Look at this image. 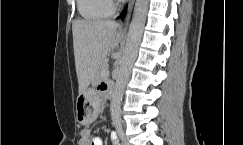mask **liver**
<instances>
[{"label": "liver", "instance_id": "1", "mask_svg": "<svg viewBox=\"0 0 243 145\" xmlns=\"http://www.w3.org/2000/svg\"><path fill=\"white\" fill-rule=\"evenodd\" d=\"M119 25L110 20L77 19L72 24L79 93L96 77L100 63L120 42Z\"/></svg>", "mask_w": 243, "mask_h": 145}]
</instances>
